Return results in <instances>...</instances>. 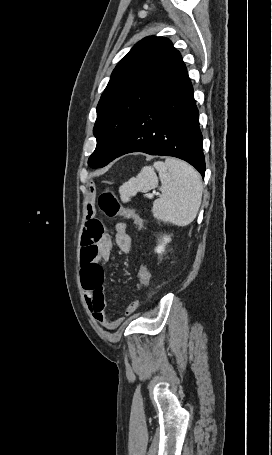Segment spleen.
I'll list each match as a JSON object with an SVG mask.
<instances>
[{"label":"spleen","instance_id":"spleen-1","mask_svg":"<svg viewBox=\"0 0 272 455\" xmlns=\"http://www.w3.org/2000/svg\"><path fill=\"white\" fill-rule=\"evenodd\" d=\"M159 180L162 194L153 202V216L178 226L193 222L201 205L203 184L200 174L179 159L166 158L164 162L157 161L152 166L143 167L136 177L120 186L121 201L127 203L137 192L146 193L157 188Z\"/></svg>","mask_w":272,"mask_h":455}]
</instances>
